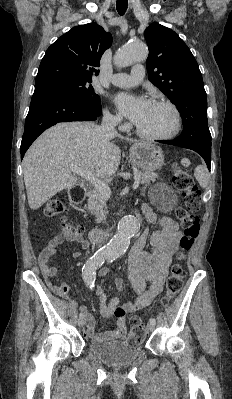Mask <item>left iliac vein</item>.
<instances>
[{
    "label": "left iliac vein",
    "instance_id": "left-iliac-vein-1",
    "mask_svg": "<svg viewBox=\"0 0 232 399\" xmlns=\"http://www.w3.org/2000/svg\"><path fill=\"white\" fill-rule=\"evenodd\" d=\"M152 328H155V322H150V325H148L149 331H152Z\"/></svg>",
    "mask_w": 232,
    "mask_h": 399
}]
</instances>
